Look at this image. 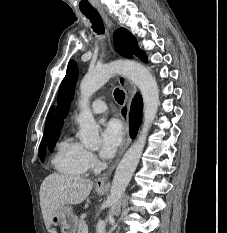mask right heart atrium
<instances>
[{"label":"right heart atrium","instance_id":"obj_1","mask_svg":"<svg viewBox=\"0 0 227 233\" xmlns=\"http://www.w3.org/2000/svg\"><path fill=\"white\" fill-rule=\"evenodd\" d=\"M86 161L89 168H93L97 164L95 155L90 151L86 152Z\"/></svg>","mask_w":227,"mask_h":233}]
</instances>
